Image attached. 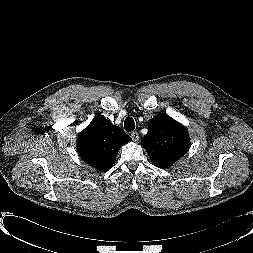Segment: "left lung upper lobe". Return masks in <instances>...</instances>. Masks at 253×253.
Listing matches in <instances>:
<instances>
[{
  "instance_id": "1",
  "label": "left lung upper lobe",
  "mask_w": 253,
  "mask_h": 253,
  "mask_svg": "<svg viewBox=\"0 0 253 253\" xmlns=\"http://www.w3.org/2000/svg\"><path fill=\"white\" fill-rule=\"evenodd\" d=\"M142 145L156 166L168 168L189 149V136L182 124L158 114L150 121Z\"/></svg>"
}]
</instances>
